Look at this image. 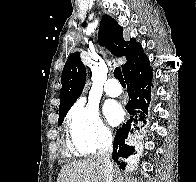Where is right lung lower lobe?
I'll use <instances>...</instances> for the list:
<instances>
[{"instance_id": "obj_1", "label": "right lung lower lobe", "mask_w": 196, "mask_h": 182, "mask_svg": "<svg viewBox=\"0 0 196 182\" xmlns=\"http://www.w3.org/2000/svg\"><path fill=\"white\" fill-rule=\"evenodd\" d=\"M123 75L130 98L128 104L125 106L130 114V119L117 130L112 154V158L122 169L125 168L122 157H128L134 152V147L125 143L127 137L134 131V123L137 121L140 124L146 123L152 87V71L147 56L143 57ZM135 128H137L136 132H139V128Z\"/></svg>"}]
</instances>
